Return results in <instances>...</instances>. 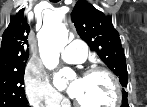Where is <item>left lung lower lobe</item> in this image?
<instances>
[{"label":"left lung lower lobe","mask_w":147,"mask_h":107,"mask_svg":"<svg viewBox=\"0 0 147 107\" xmlns=\"http://www.w3.org/2000/svg\"><path fill=\"white\" fill-rule=\"evenodd\" d=\"M127 106H128L127 99H123L121 107H127Z\"/></svg>","instance_id":"obj_1"}]
</instances>
